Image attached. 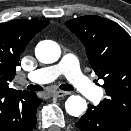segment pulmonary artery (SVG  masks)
<instances>
[{
	"label": "pulmonary artery",
	"instance_id": "e3ab8cb5",
	"mask_svg": "<svg viewBox=\"0 0 131 131\" xmlns=\"http://www.w3.org/2000/svg\"><path fill=\"white\" fill-rule=\"evenodd\" d=\"M65 75L69 82L86 98L98 99L102 89L96 86L80 70L79 62L74 54H65L57 65L37 69L28 74V79L34 83H49Z\"/></svg>",
	"mask_w": 131,
	"mask_h": 131
}]
</instances>
